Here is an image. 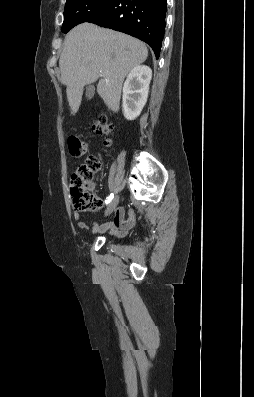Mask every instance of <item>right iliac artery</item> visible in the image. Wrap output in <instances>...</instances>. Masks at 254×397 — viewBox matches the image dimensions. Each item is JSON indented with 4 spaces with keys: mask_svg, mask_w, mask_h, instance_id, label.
<instances>
[{
    "mask_svg": "<svg viewBox=\"0 0 254 397\" xmlns=\"http://www.w3.org/2000/svg\"><path fill=\"white\" fill-rule=\"evenodd\" d=\"M113 197H114V194L111 193V194L107 197V199L105 200V203H106V204L110 203L111 200L113 199Z\"/></svg>",
    "mask_w": 254,
    "mask_h": 397,
    "instance_id": "obj_1",
    "label": "right iliac artery"
}]
</instances>
